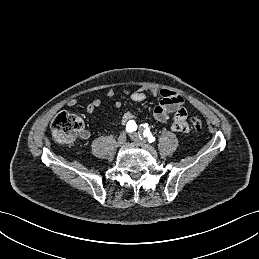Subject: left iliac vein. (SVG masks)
<instances>
[{
	"label": "left iliac vein",
	"instance_id": "4c4485c4",
	"mask_svg": "<svg viewBox=\"0 0 259 259\" xmlns=\"http://www.w3.org/2000/svg\"><path fill=\"white\" fill-rule=\"evenodd\" d=\"M129 136H130V138H131L133 141H135V142H142V143H145V142H146L145 139H141V138L139 137V134H138V133L133 132V133H131Z\"/></svg>",
	"mask_w": 259,
	"mask_h": 259
}]
</instances>
